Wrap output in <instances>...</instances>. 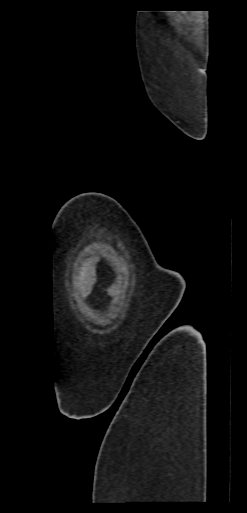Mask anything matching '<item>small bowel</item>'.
I'll list each match as a JSON object with an SVG mask.
<instances>
[{
  "label": "small bowel",
  "mask_w": 247,
  "mask_h": 513,
  "mask_svg": "<svg viewBox=\"0 0 247 513\" xmlns=\"http://www.w3.org/2000/svg\"><path fill=\"white\" fill-rule=\"evenodd\" d=\"M95 273L87 264H79L74 273L75 293L81 297H87L93 288Z\"/></svg>",
  "instance_id": "obj_1"
}]
</instances>
